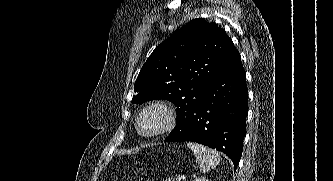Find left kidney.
<instances>
[{
	"mask_svg": "<svg viewBox=\"0 0 333 181\" xmlns=\"http://www.w3.org/2000/svg\"><path fill=\"white\" fill-rule=\"evenodd\" d=\"M193 181H209L208 179H206L205 177H200V178H196Z\"/></svg>",
	"mask_w": 333,
	"mask_h": 181,
	"instance_id": "1",
	"label": "left kidney"
}]
</instances>
